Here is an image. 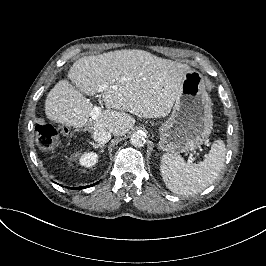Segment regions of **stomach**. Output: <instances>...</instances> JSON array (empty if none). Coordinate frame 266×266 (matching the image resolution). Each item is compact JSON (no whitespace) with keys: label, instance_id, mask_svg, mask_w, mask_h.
Here are the masks:
<instances>
[{"label":"stomach","instance_id":"0dacf381","mask_svg":"<svg viewBox=\"0 0 266 266\" xmlns=\"http://www.w3.org/2000/svg\"><path fill=\"white\" fill-rule=\"evenodd\" d=\"M212 106L204 88L203 76L196 71H188L172 113L157 128L160 136L158 148L175 155L200 148L213 132Z\"/></svg>","mask_w":266,"mask_h":266}]
</instances>
